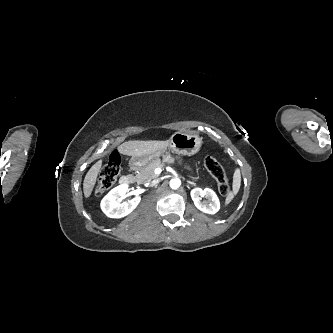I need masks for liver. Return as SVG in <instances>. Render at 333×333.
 Wrapping results in <instances>:
<instances>
[{"label":"liver","instance_id":"6515ba94","mask_svg":"<svg viewBox=\"0 0 333 333\" xmlns=\"http://www.w3.org/2000/svg\"><path fill=\"white\" fill-rule=\"evenodd\" d=\"M169 146V141H127L117 147L120 154L127 156L141 157L164 150ZM102 161L96 162L87 172L83 182V192L89 198L96 184L98 173L100 172Z\"/></svg>","mask_w":333,"mask_h":333}]
</instances>
